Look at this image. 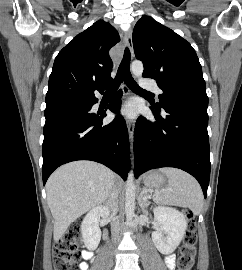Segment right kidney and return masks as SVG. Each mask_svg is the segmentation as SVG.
Instances as JSON below:
<instances>
[{"label":"right kidney","instance_id":"obj_1","mask_svg":"<svg viewBox=\"0 0 242 270\" xmlns=\"http://www.w3.org/2000/svg\"><path fill=\"white\" fill-rule=\"evenodd\" d=\"M108 213L107 206H97L84 217L81 224V234L87 249L94 250L97 248L101 239L100 217H106Z\"/></svg>","mask_w":242,"mask_h":270}]
</instances>
